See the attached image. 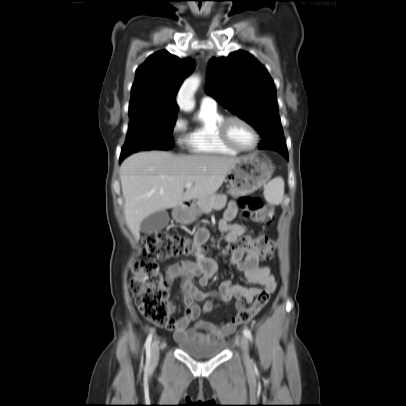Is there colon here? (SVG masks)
I'll return each instance as SVG.
<instances>
[{
	"instance_id": "obj_1",
	"label": "colon",
	"mask_w": 406,
	"mask_h": 406,
	"mask_svg": "<svg viewBox=\"0 0 406 406\" xmlns=\"http://www.w3.org/2000/svg\"><path fill=\"white\" fill-rule=\"evenodd\" d=\"M242 215L258 224H269L274 219V210L265 205L259 197L243 196L239 199ZM144 254L149 261H139L133 266L129 288L135 297L141 314L150 322L167 326L171 322V303L168 301L169 289L155 261L190 256L202 252L187 237L164 231L151 232L143 238ZM273 242L268 237L244 236L237 244L230 245L227 252H253L262 260L273 256ZM271 293L261 291L254 302L242 308L233 320L234 324H246L267 305Z\"/></svg>"
}]
</instances>
